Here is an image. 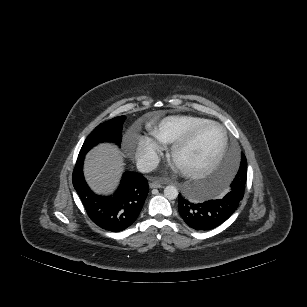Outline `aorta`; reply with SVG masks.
Returning a JSON list of instances; mask_svg holds the SVG:
<instances>
[{"label": "aorta", "instance_id": "aorta-1", "mask_svg": "<svg viewBox=\"0 0 307 307\" xmlns=\"http://www.w3.org/2000/svg\"><path fill=\"white\" fill-rule=\"evenodd\" d=\"M164 196L168 200H174L178 197V189L173 185H168L164 188Z\"/></svg>", "mask_w": 307, "mask_h": 307}]
</instances>
